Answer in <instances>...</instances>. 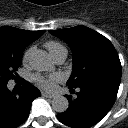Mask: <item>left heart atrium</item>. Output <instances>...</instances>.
Instances as JSON below:
<instances>
[{"mask_svg":"<svg viewBox=\"0 0 128 128\" xmlns=\"http://www.w3.org/2000/svg\"><path fill=\"white\" fill-rule=\"evenodd\" d=\"M34 79L41 88L53 90L56 84L62 81V76L60 74H53L47 77L37 75Z\"/></svg>","mask_w":128,"mask_h":128,"instance_id":"obj_1","label":"left heart atrium"}]
</instances>
